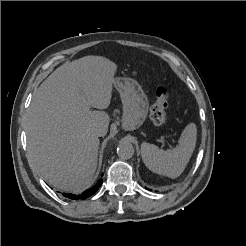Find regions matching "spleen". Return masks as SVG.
I'll return each mask as SVG.
<instances>
[{"mask_svg": "<svg viewBox=\"0 0 246 246\" xmlns=\"http://www.w3.org/2000/svg\"><path fill=\"white\" fill-rule=\"evenodd\" d=\"M197 128L194 123L183 130L175 148L162 150L154 144L143 142L141 155L145 166L152 172L170 178L179 177L186 168L196 146Z\"/></svg>", "mask_w": 246, "mask_h": 246, "instance_id": "3e777b00", "label": "spleen"}]
</instances>
